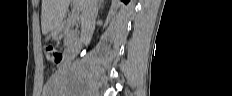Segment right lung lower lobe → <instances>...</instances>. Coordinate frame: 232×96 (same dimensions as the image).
Masks as SVG:
<instances>
[{"label": "right lung lower lobe", "instance_id": "obj_1", "mask_svg": "<svg viewBox=\"0 0 232 96\" xmlns=\"http://www.w3.org/2000/svg\"><path fill=\"white\" fill-rule=\"evenodd\" d=\"M124 3H128L129 2V0H122Z\"/></svg>", "mask_w": 232, "mask_h": 96}]
</instances>
